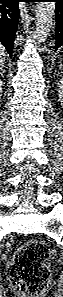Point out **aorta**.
<instances>
[{"instance_id":"1","label":"aorta","mask_w":63,"mask_h":297,"mask_svg":"<svg viewBox=\"0 0 63 297\" xmlns=\"http://www.w3.org/2000/svg\"><path fill=\"white\" fill-rule=\"evenodd\" d=\"M55 3L38 2L36 10L35 33L36 42L42 44L49 36L54 25Z\"/></svg>"}]
</instances>
